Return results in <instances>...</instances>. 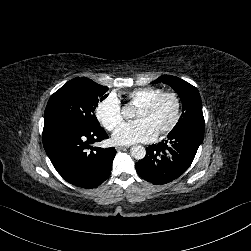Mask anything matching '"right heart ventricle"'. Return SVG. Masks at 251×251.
<instances>
[{"instance_id":"e07e8e85","label":"right heart ventricle","mask_w":251,"mask_h":251,"mask_svg":"<svg viewBox=\"0 0 251 251\" xmlns=\"http://www.w3.org/2000/svg\"><path fill=\"white\" fill-rule=\"evenodd\" d=\"M164 90L160 87H142L131 91L128 99L131 104L143 105L162 93Z\"/></svg>"}]
</instances>
